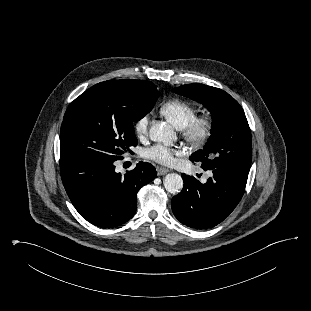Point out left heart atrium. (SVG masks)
I'll return each mask as SVG.
<instances>
[{
    "label": "left heart atrium",
    "mask_w": 311,
    "mask_h": 311,
    "mask_svg": "<svg viewBox=\"0 0 311 311\" xmlns=\"http://www.w3.org/2000/svg\"><path fill=\"white\" fill-rule=\"evenodd\" d=\"M179 153L177 149L162 144H155L144 151V156L155 162L168 165L173 163L175 155Z\"/></svg>",
    "instance_id": "obj_1"
}]
</instances>
